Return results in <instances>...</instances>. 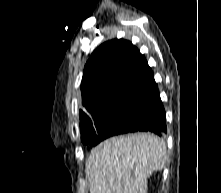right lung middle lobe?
<instances>
[{
	"instance_id": "1",
	"label": "right lung middle lobe",
	"mask_w": 221,
	"mask_h": 193,
	"mask_svg": "<svg viewBox=\"0 0 221 193\" xmlns=\"http://www.w3.org/2000/svg\"><path fill=\"white\" fill-rule=\"evenodd\" d=\"M148 100L123 99L100 108L94 115L80 119L81 140L95 146L122 133L137 123L150 110Z\"/></svg>"
}]
</instances>
